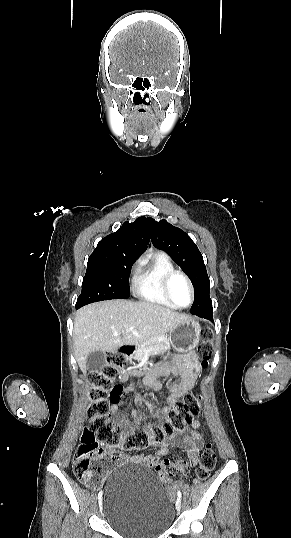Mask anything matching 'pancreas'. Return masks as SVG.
Returning a JSON list of instances; mask_svg holds the SVG:
<instances>
[{
	"instance_id": "1",
	"label": "pancreas",
	"mask_w": 291,
	"mask_h": 538,
	"mask_svg": "<svg viewBox=\"0 0 291 538\" xmlns=\"http://www.w3.org/2000/svg\"><path fill=\"white\" fill-rule=\"evenodd\" d=\"M170 349V342L167 339L153 338L139 344L132 358L141 361L145 356L161 354Z\"/></svg>"
}]
</instances>
